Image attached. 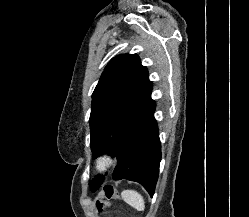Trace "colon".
<instances>
[{
	"label": "colon",
	"mask_w": 249,
	"mask_h": 217,
	"mask_svg": "<svg viewBox=\"0 0 249 217\" xmlns=\"http://www.w3.org/2000/svg\"><path fill=\"white\" fill-rule=\"evenodd\" d=\"M119 193L112 186H107L104 188L102 198L96 201V209L102 211L106 206H108V201L112 199H118Z\"/></svg>",
	"instance_id": "obj_1"
}]
</instances>
